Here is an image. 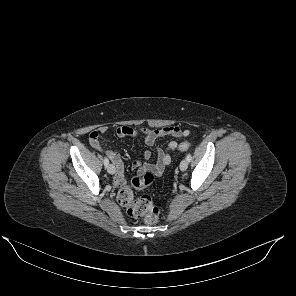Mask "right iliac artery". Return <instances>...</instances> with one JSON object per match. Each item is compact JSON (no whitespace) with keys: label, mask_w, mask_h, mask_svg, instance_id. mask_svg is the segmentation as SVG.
I'll use <instances>...</instances> for the list:
<instances>
[{"label":"right iliac artery","mask_w":296,"mask_h":296,"mask_svg":"<svg viewBox=\"0 0 296 296\" xmlns=\"http://www.w3.org/2000/svg\"><path fill=\"white\" fill-rule=\"evenodd\" d=\"M104 165L107 167L109 165V160L107 157L104 158Z\"/></svg>","instance_id":"1"}]
</instances>
